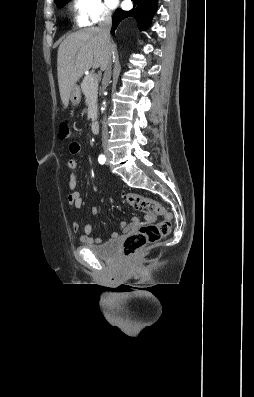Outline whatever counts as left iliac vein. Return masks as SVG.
<instances>
[{
  "label": "left iliac vein",
  "mask_w": 254,
  "mask_h": 397,
  "mask_svg": "<svg viewBox=\"0 0 254 397\" xmlns=\"http://www.w3.org/2000/svg\"><path fill=\"white\" fill-rule=\"evenodd\" d=\"M110 158H111L110 154H109V153H107V164L109 163V161H110Z\"/></svg>",
  "instance_id": "1"
}]
</instances>
